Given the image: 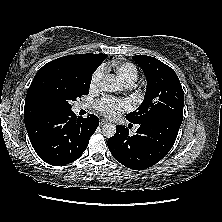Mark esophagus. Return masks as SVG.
<instances>
[{"label": "esophagus", "instance_id": "1", "mask_svg": "<svg viewBox=\"0 0 222 222\" xmlns=\"http://www.w3.org/2000/svg\"><path fill=\"white\" fill-rule=\"evenodd\" d=\"M107 123V121H105V120H101L100 121V125H104V124H106Z\"/></svg>", "mask_w": 222, "mask_h": 222}]
</instances>
